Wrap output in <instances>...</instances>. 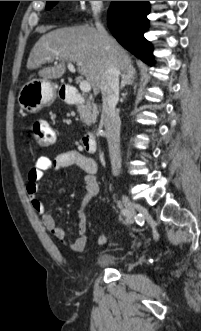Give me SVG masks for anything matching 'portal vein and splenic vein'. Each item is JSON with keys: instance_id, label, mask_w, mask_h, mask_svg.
I'll list each match as a JSON object with an SVG mask.
<instances>
[{"instance_id": "portal-vein-and-splenic-vein-1", "label": "portal vein and splenic vein", "mask_w": 201, "mask_h": 331, "mask_svg": "<svg viewBox=\"0 0 201 331\" xmlns=\"http://www.w3.org/2000/svg\"><path fill=\"white\" fill-rule=\"evenodd\" d=\"M68 69H69L71 72H73V73L76 71V70H75V67L73 66V64H72L71 62L68 63ZM79 87H80V90H81L82 92L87 93V92H90V91H91V85H90V83H89L88 81L81 80V81H80V85H79Z\"/></svg>"}]
</instances>
